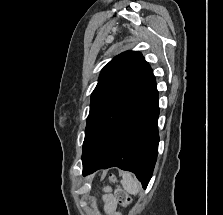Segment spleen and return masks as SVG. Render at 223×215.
<instances>
[{
  "mask_svg": "<svg viewBox=\"0 0 223 215\" xmlns=\"http://www.w3.org/2000/svg\"><path fill=\"white\" fill-rule=\"evenodd\" d=\"M123 179H121V183L126 189V191H129V193H138L139 189H141L140 183H138L137 179H133L131 173H128V171H125L122 175Z\"/></svg>",
  "mask_w": 223,
  "mask_h": 215,
  "instance_id": "1",
  "label": "spleen"
}]
</instances>
